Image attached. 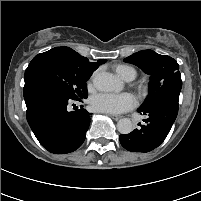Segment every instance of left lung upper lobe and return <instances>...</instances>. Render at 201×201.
I'll return each mask as SVG.
<instances>
[{
    "instance_id": "obj_1",
    "label": "left lung upper lobe",
    "mask_w": 201,
    "mask_h": 201,
    "mask_svg": "<svg viewBox=\"0 0 201 201\" xmlns=\"http://www.w3.org/2000/svg\"><path fill=\"white\" fill-rule=\"evenodd\" d=\"M124 61L137 65L151 76L149 94L140 108L152 104L161 97L179 99L182 80L179 65L173 58L157 54L152 50H144L134 53Z\"/></svg>"
}]
</instances>
